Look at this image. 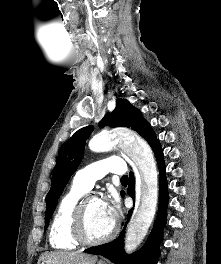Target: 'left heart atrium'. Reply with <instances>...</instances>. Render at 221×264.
I'll return each instance as SVG.
<instances>
[{
    "instance_id": "39dd6f15",
    "label": "left heart atrium",
    "mask_w": 221,
    "mask_h": 264,
    "mask_svg": "<svg viewBox=\"0 0 221 264\" xmlns=\"http://www.w3.org/2000/svg\"><path fill=\"white\" fill-rule=\"evenodd\" d=\"M104 206H105V210H106L107 214L109 215V217L114 222L115 219L117 218L118 211H119V205H118L117 201L112 200L110 202H106V203H104Z\"/></svg>"
}]
</instances>
